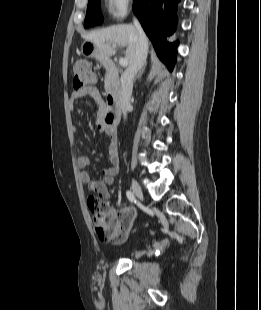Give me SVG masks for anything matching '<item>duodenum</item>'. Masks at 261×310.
<instances>
[{
	"instance_id": "410a0bca",
	"label": "duodenum",
	"mask_w": 261,
	"mask_h": 310,
	"mask_svg": "<svg viewBox=\"0 0 261 310\" xmlns=\"http://www.w3.org/2000/svg\"><path fill=\"white\" fill-rule=\"evenodd\" d=\"M105 68L112 76L118 75V68L111 60L104 61ZM118 94L116 92H110L107 96L104 122L110 128L114 129L119 117V106H118Z\"/></svg>"
}]
</instances>
